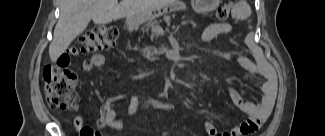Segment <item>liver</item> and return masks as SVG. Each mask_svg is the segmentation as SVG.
Instances as JSON below:
<instances>
[{
  "instance_id": "obj_1",
  "label": "liver",
  "mask_w": 325,
  "mask_h": 136,
  "mask_svg": "<svg viewBox=\"0 0 325 136\" xmlns=\"http://www.w3.org/2000/svg\"><path fill=\"white\" fill-rule=\"evenodd\" d=\"M171 0H60V16L55 26L49 56L55 62L71 42L87 28L91 20L107 24L120 18H131L158 7L171 4Z\"/></svg>"
}]
</instances>
